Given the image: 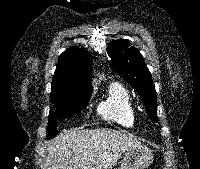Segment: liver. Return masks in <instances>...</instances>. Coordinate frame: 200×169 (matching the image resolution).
I'll list each match as a JSON object with an SVG mask.
<instances>
[{"instance_id":"1","label":"liver","mask_w":200,"mask_h":169,"mask_svg":"<svg viewBox=\"0 0 200 169\" xmlns=\"http://www.w3.org/2000/svg\"><path fill=\"white\" fill-rule=\"evenodd\" d=\"M136 146H141L137 139L117 130H72L49 142L45 169H112Z\"/></svg>"}]
</instances>
